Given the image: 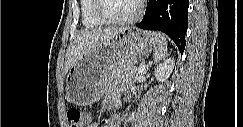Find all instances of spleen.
Segmentation results:
<instances>
[{
  "label": "spleen",
  "instance_id": "3e777b00",
  "mask_svg": "<svg viewBox=\"0 0 243 127\" xmlns=\"http://www.w3.org/2000/svg\"><path fill=\"white\" fill-rule=\"evenodd\" d=\"M156 47L154 52V61L159 62L167 55V41L164 35L155 33L153 36Z\"/></svg>",
  "mask_w": 243,
  "mask_h": 127
}]
</instances>
